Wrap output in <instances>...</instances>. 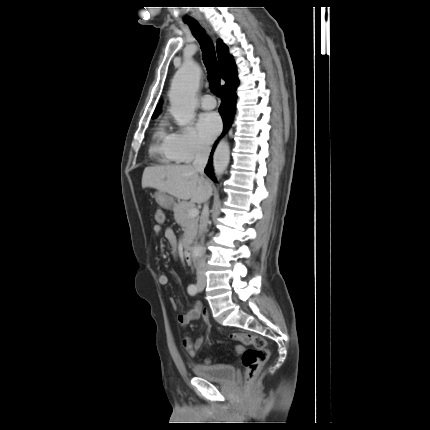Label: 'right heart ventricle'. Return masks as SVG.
<instances>
[{
    "mask_svg": "<svg viewBox=\"0 0 430 430\" xmlns=\"http://www.w3.org/2000/svg\"><path fill=\"white\" fill-rule=\"evenodd\" d=\"M170 136L171 133L166 129L164 122L158 125L152 136L150 152L160 162L165 164L178 162L170 146Z\"/></svg>",
    "mask_w": 430,
    "mask_h": 430,
    "instance_id": "1",
    "label": "right heart ventricle"
}]
</instances>
